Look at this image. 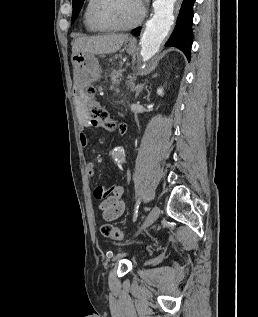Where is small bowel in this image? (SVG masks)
<instances>
[{
  "label": "small bowel",
  "instance_id": "obj_1",
  "mask_svg": "<svg viewBox=\"0 0 258 317\" xmlns=\"http://www.w3.org/2000/svg\"><path fill=\"white\" fill-rule=\"evenodd\" d=\"M118 128L121 134L125 133L126 128L123 124H120ZM79 139L83 147H86L88 145V136L84 131L80 133ZM85 168L88 177H94V162L88 160L86 162ZM123 194V187L116 184L99 185L95 188L94 197L98 200H101V202L98 205V209L102 213V218L105 221H113L123 214L125 210V201Z\"/></svg>",
  "mask_w": 258,
  "mask_h": 317
}]
</instances>
